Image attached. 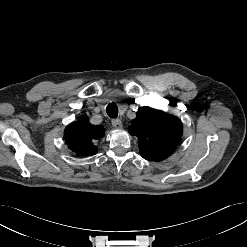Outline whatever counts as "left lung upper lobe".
Here are the masks:
<instances>
[{
	"label": "left lung upper lobe",
	"mask_w": 247,
	"mask_h": 247,
	"mask_svg": "<svg viewBox=\"0 0 247 247\" xmlns=\"http://www.w3.org/2000/svg\"><path fill=\"white\" fill-rule=\"evenodd\" d=\"M129 133L138 138L140 153L149 161L170 156L181 141V121L163 111L141 107L129 126Z\"/></svg>",
	"instance_id": "obj_1"
}]
</instances>
